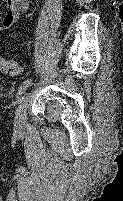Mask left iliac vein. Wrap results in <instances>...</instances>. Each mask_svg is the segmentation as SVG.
I'll list each match as a JSON object with an SVG mask.
<instances>
[{"label":"left iliac vein","mask_w":123,"mask_h":201,"mask_svg":"<svg viewBox=\"0 0 123 201\" xmlns=\"http://www.w3.org/2000/svg\"><path fill=\"white\" fill-rule=\"evenodd\" d=\"M29 94L26 93L22 100L20 101V104L18 106L17 112L15 114V120H14V125L15 129L17 131L23 130L26 122V110L28 106V100H29Z\"/></svg>","instance_id":"left-iliac-vein-1"}]
</instances>
